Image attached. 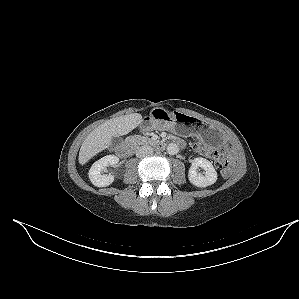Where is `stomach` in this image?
<instances>
[{
	"label": "stomach",
	"instance_id": "stomach-1",
	"mask_svg": "<svg viewBox=\"0 0 299 299\" xmlns=\"http://www.w3.org/2000/svg\"><path fill=\"white\" fill-rule=\"evenodd\" d=\"M165 129L194 135L210 147H218L222 141V135L210 125L198 124L190 115L181 112L168 113L162 108L152 109L147 119L141 124L142 131Z\"/></svg>",
	"mask_w": 299,
	"mask_h": 299
}]
</instances>
